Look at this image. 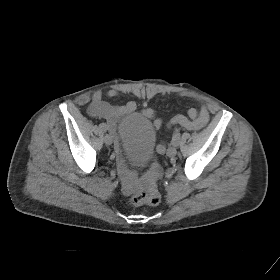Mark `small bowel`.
<instances>
[{
	"label": "small bowel",
	"mask_w": 280,
	"mask_h": 280,
	"mask_svg": "<svg viewBox=\"0 0 280 280\" xmlns=\"http://www.w3.org/2000/svg\"><path fill=\"white\" fill-rule=\"evenodd\" d=\"M118 91L116 89H110L106 92L105 96L107 98H115L118 96ZM181 96L195 97L189 93H181ZM136 109V103L134 101H128L123 105H112L104 100V95L101 91H96L91 99L88 106V114L94 118H102L106 120L107 128L114 132L115 126L120 118L133 112ZM143 115L148 118H154L155 127L159 128L162 126V120L155 118V111L152 108H145L143 110ZM210 114L206 105H202L199 109L190 108L187 115H176L170 119L168 126L179 125L187 130H200L209 121ZM165 145L162 143L158 146L160 152L164 151ZM121 175L124 180L125 192H130L136 187H138V181L136 177L130 173L124 164H121Z\"/></svg>",
	"instance_id": "small-bowel-1"
}]
</instances>
